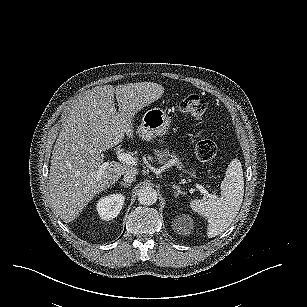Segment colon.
<instances>
[{
    "instance_id": "5ec220e1",
    "label": "colon",
    "mask_w": 307,
    "mask_h": 307,
    "mask_svg": "<svg viewBox=\"0 0 307 307\" xmlns=\"http://www.w3.org/2000/svg\"><path fill=\"white\" fill-rule=\"evenodd\" d=\"M179 109L194 119H201L207 109V103L196 94H190L184 97L179 103ZM217 152L216 144L212 140L204 139L195 146L196 157L202 162L212 160Z\"/></svg>"
}]
</instances>
